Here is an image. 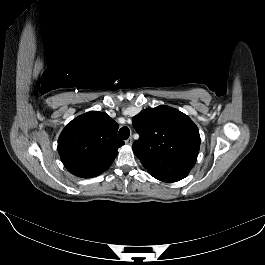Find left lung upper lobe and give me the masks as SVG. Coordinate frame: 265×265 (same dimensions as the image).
I'll use <instances>...</instances> for the list:
<instances>
[{"mask_svg": "<svg viewBox=\"0 0 265 265\" xmlns=\"http://www.w3.org/2000/svg\"><path fill=\"white\" fill-rule=\"evenodd\" d=\"M133 126L140 135L133 144V151L146 169L197 159L199 130L179 110L164 105L143 110L133 117Z\"/></svg>", "mask_w": 265, "mask_h": 265, "instance_id": "obj_1", "label": "left lung upper lobe"}]
</instances>
